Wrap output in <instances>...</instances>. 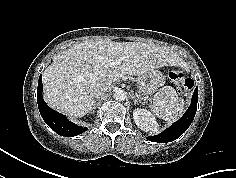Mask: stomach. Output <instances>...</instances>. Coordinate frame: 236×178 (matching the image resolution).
I'll return each instance as SVG.
<instances>
[{
	"instance_id": "stomach-1",
	"label": "stomach",
	"mask_w": 236,
	"mask_h": 178,
	"mask_svg": "<svg viewBox=\"0 0 236 178\" xmlns=\"http://www.w3.org/2000/svg\"><path fill=\"white\" fill-rule=\"evenodd\" d=\"M164 77L158 70H151L148 73L138 76L137 78V92L140 97L152 94L163 83Z\"/></svg>"
}]
</instances>
